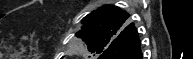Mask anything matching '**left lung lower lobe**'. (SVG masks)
<instances>
[{"label": "left lung lower lobe", "mask_w": 193, "mask_h": 59, "mask_svg": "<svg viewBox=\"0 0 193 59\" xmlns=\"http://www.w3.org/2000/svg\"><path fill=\"white\" fill-rule=\"evenodd\" d=\"M99 59H142L138 32L130 24L122 33L120 39L107 48Z\"/></svg>", "instance_id": "left-lung-lower-lobe-1"}]
</instances>
